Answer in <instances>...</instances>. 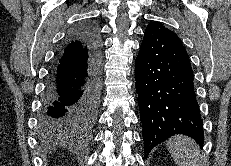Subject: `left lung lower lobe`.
<instances>
[{
	"label": "left lung lower lobe",
	"instance_id": "0a47b994",
	"mask_svg": "<svg viewBox=\"0 0 231 166\" xmlns=\"http://www.w3.org/2000/svg\"><path fill=\"white\" fill-rule=\"evenodd\" d=\"M144 151L175 134L204 142L189 56L177 35L147 27L135 64Z\"/></svg>",
	"mask_w": 231,
	"mask_h": 166
}]
</instances>
